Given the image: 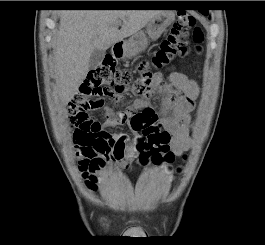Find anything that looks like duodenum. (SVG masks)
<instances>
[{"label":"duodenum","instance_id":"duodenum-1","mask_svg":"<svg viewBox=\"0 0 265 245\" xmlns=\"http://www.w3.org/2000/svg\"><path fill=\"white\" fill-rule=\"evenodd\" d=\"M112 54L114 57L118 59H122L124 55V46L122 41L116 42L111 49Z\"/></svg>","mask_w":265,"mask_h":245}]
</instances>
